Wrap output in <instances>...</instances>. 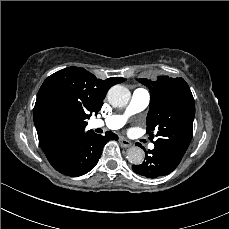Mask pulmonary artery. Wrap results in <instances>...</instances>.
<instances>
[{"label":"pulmonary artery","instance_id":"e3ab8cb5","mask_svg":"<svg viewBox=\"0 0 229 229\" xmlns=\"http://www.w3.org/2000/svg\"><path fill=\"white\" fill-rule=\"evenodd\" d=\"M150 102V94L147 89L139 88L136 89L130 99V102L126 108V111L122 115H112L106 120H93L90 127L92 129L96 128H106L109 130L120 129L126 122L128 116L143 111ZM154 145L150 144L149 148H153Z\"/></svg>","mask_w":229,"mask_h":229}]
</instances>
